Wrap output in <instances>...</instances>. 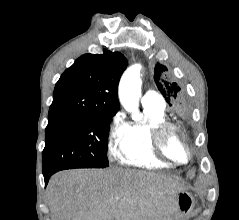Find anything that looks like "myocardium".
I'll list each match as a JSON object with an SVG mask.
<instances>
[{
    "label": "myocardium",
    "mask_w": 239,
    "mask_h": 220,
    "mask_svg": "<svg viewBox=\"0 0 239 220\" xmlns=\"http://www.w3.org/2000/svg\"><path fill=\"white\" fill-rule=\"evenodd\" d=\"M171 134H176L180 138L186 153V157L184 160L174 159L168 154L166 150V140ZM151 138L153 150L159 158L167 161L170 164L178 166L185 165L190 161V146L187 142L186 135L177 125L168 122L161 124L153 129Z\"/></svg>",
    "instance_id": "myocardium-1"
}]
</instances>
